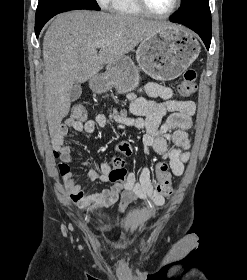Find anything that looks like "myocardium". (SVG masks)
<instances>
[{"label": "myocardium", "mask_w": 247, "mask_h": 280, "mask_svg": "<svg viewBox=\"0 0 247 280\" xmlns=\"http://www.w3.org/2000/svg\"><path fill=\"white\" fill-rule=\"evenodd\" d=\"M137 5L139 6V8L146 14L152 16V17H156V18H167L170 17L171 15H173L180 7L181 5V0H175L174 1V5L172 6V8L170 10H168L167 12L164 13H158L155 12L154 10H152L146 0H135Z\"/></svg>", "instance_id": "myocardium-1"}]
</instances>
